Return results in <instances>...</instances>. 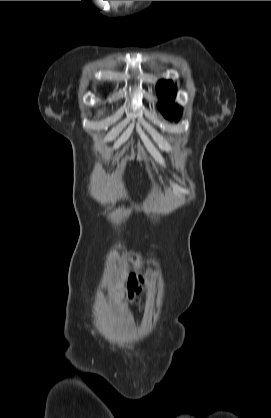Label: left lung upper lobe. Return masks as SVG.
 <instances>
[{"label": "left lung upper lobe", "instance_id": "left-lung-upper-lobe-1", "mask_svg": "<svg viewBox=\"0 0 271 418\" xmlns=\"http://www.w3.org/2000/svg\"><path fill=\"white\" fill-rule=\"evenodd\" d=\"M157 94L160 98L159 107L166 118L179 119L182 114V108L174 104L176 87L172 81L161 80L157 84Z\"/></svg>", "mask_w": 271, "mask_h": 418}]
</instances>
